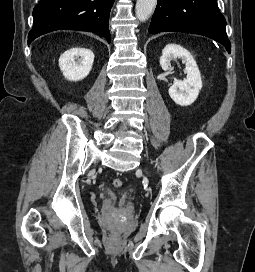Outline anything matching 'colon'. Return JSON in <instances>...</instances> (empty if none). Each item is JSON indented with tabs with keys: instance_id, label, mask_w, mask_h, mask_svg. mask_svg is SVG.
<instances>
[{
	"instance_id": "5ec220e1",
	"label": "colon",
	"mask_w": 255,
	"mask_h": 272,
	"mask_svg": "<svg viewBox=\"0 0 255 272\" xmlns=\"http://www.w3.org/2000/svg\"><path fill=\"white\" fill-rule=\"evenodd\" d=\"M122 185H123V181L121 179L117 178V179L113 180V186L115 188H120V187H122Z\"/></svg>"
}]
</instances>
